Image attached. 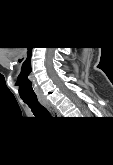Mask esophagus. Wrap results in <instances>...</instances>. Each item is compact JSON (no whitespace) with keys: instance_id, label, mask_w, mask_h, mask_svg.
Wrapping results in <instances>:
<instances>
[{"instance_id":"34e87169","label":"esophagus","mask_w":113,"mask_h":165,"mask_svg":"<svg viewBox=\"0 0 113 165\" xmlns=\"http://www.w3.org/2000/svg\"><path fill=\"white\" fill-rule=\"evenodd\" d=\"M40 103L50 112L52 117H59L60 113L57 108L47 99H40Z\"/></svg>"}]
</instances>
